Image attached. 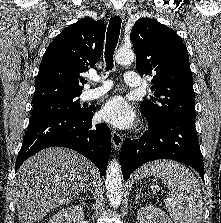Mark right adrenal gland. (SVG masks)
<instances>
[{
    "label": "right adrenal gland",
    "mask_w": 221,
    "mask_h": 223,
    "mask_svg": "<svg viewBox=\"0 0 221 223\" xmlns=\"http://www.w3.org/2000/svg\"><path fill=\"white\" fill-rule=\"evenodd\" d=\"M88 190H89L91 193H93L92 179H91V178L88 180V184H86L85 188L83 189V193H86Z\"/></svg>",
    "instance_id": "obj_1"
}]
</instances>
